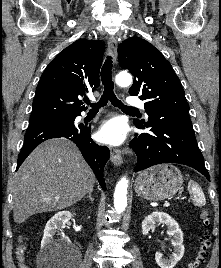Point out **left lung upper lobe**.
<instances>
[{
  "label": "left lung upper lobe",
  "instance_id": "left-lung-upper-lobe-1",
  "mask_svg": "<svg viewBox=\"0 0 221 268\" xmlns=\"http://www.w3.org/2000/svg\"><path fill=\"white\" fill-rule=\"evenodd\" d=\"M119 65L134 76L131 96L145 100V110L189 112L179 78L171 64L148 41L129 38L118 47ZM137 121V120H135Z\"/></svg>",
  "mask_w": 221,
  "mask_h": 268
}]
</instances>
